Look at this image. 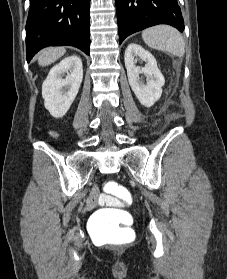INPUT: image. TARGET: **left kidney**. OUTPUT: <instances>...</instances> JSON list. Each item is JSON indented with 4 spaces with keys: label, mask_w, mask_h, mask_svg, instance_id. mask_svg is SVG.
<instances>
[{
    "label": "left kidney",
    "mask_w": 227,
    "mask_h": 279,
    "mask_svg": "<svg viewBox=\"0 0 227 279\" xmlns=\"http://www.w3.org/2000/svg\"><path fill=\"white\" fill-rule=\"evenodd\" d=\"M137 58L146 63L144 67L135 65ZM124 60L128 81L134 94L143 106L151 107L161 97L162 86L165 83L164 76L158 69L156 59L140 45L131 43L125 51ZM140 74L146 77V84L140 81Z\"/></svg>",
    "instance_id": "obj_1"
}]
</instances>
